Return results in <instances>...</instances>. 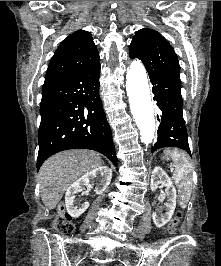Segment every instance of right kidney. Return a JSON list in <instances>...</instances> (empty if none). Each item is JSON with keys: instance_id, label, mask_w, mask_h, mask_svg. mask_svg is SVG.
<instances>
[{"instance_id": "ca27d5eb", "label": "right kidney", "mask_w": 221, "mask_h": 266, "mask_svg": "<svg viewBox=\"0 0 221 266\" xmlns=\"http://www.w3.org/2000/svg\"><path fill=\"white\" fill-rule=\"evenodd\" d=\"M96 178L99 183L95 188V192L103 193L111 182L112 170L107 166H99L92 171L87 172L68 187L65 194V204L68 213L72 217H79L89 207L88 202L82 204L79 202L77 203L76 197L77 194L83 192L85 188L90 189L92 187L90 182H95Z\"/></svg>"}]
</instances>
